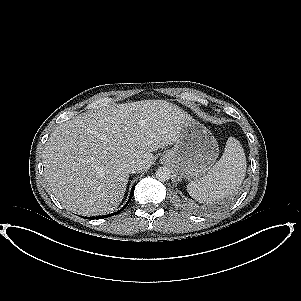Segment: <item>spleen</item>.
<instances>
[{"mask_svg": "<svg viewBox=\"0 0 301 301\" xmlns=\"http://www.w3.org/2000/svg\"><path fill=\"white\" fill-rule=\"evenodd\" d=\"M246 157L238 141L230 138L219 161L199 180L191 181L187 191L202 203H212L235 194L245 178Z\"/></svg>", "mask_w": 301, "mask_h": 301, "instance_id": "3e777b00", "label": "spleen"}]
</instances>
